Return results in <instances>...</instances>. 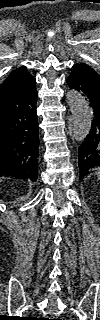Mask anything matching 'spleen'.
I'll return each instance as SVG.
<instances>
[{
	"label": "spleen",
	"mask_w": 100,
	"mask_h": 320,
	"mask_svg": "<svg viewBox=\"0 0 100 320\" xmlns=\"http://www.w3.org/2000/svg\"><path fill=\"white\" fill-rule=\"evenodd\" d=\"M98 170H99V169H98V168H96V173H97V174H98Z\"/></svg>",
	"instance_id": "1"
}]
</instances>
